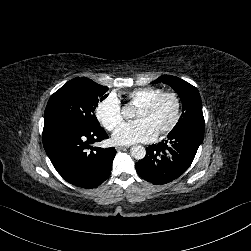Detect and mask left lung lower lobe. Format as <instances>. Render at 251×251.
I'll list each match as a JSON object with an SVG mask.
<instances>
[{
  "instance_id": "0a47b994",
  "label": "left lung lower lobe",
  "mask_w": 251,
  "mask_h": 251,
  "mask_svg": "<svg viewBox=\"0 0 251 251\" xmlns=\"http://www.w3.org/2000/svg\"><path fill=\"white\" fill-rule=\"evenodd\" d=\"M204 132L177 130L158 144L149 145L145 157L135 164L141 178L153 184H166L181 176L191 165Z\"/></svg>"
}]
</instances>
